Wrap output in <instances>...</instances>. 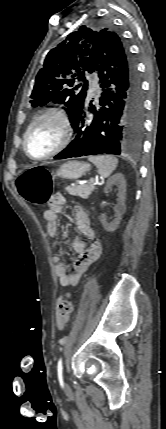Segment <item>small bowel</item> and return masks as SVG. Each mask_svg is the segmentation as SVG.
<instances>
[{"instance_id":"c3829d8e","label":"small bowel","mask_w":166,"mask_h":429,"mask_svg":"<svg viewBox=\"0 0 166 429\" xmlns=\"http://www.w3.org/2000/svg\"><path fill=\"white\" fill-rule=\"evenodd\" d=\"M65 198L62 194H56L51 199L50 209L45 211L44 217L47 220V233L53 239L54 254L53 262L55 264V273L57 275L61 287H73L78 284L82 276L88 270L93 262H95L101 254V243L96 238L95 231L91 226V222L86 211L77 207L75 209V224L78 232L88 239H92V243L86 246L81 239H75L72 243L74 251L78 254V258L72 265V272H67V266L62 262L58 251L57 234L59 228V214L62 212ZM61 328V326H59Z\"/></svg>"}]
</instances>
